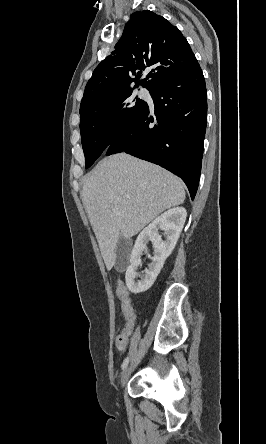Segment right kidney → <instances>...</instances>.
Listing matches in <instances>:
<instances>
[{"label": "right kidney", "instance_id": "obj_1", "mask_svg": "<svg viewBox=\"0 0 266 444\" xmlns=\"http://www.w3.org/2000/svg\"><path fill=\"white\" fill-rule=\"evenodd\" d=\"M187 212L183 207L169 209L153 220L137 237L130 255V265L127 267L125 280L130 292L137 294L147 291L156 280L165 260L173 251L183 229ZM165 232V240L161 239L158 231ZM151 241L154 252L150 257L151 263L145 270L141 280L137 277V268L141 264V255L147 250V243Z\"/></svg>", "mask_w": 266, "mask_h": 444}]
</instances>
